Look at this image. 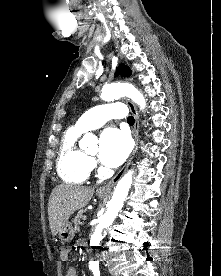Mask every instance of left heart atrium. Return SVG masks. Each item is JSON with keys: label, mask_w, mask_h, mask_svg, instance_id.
<instances>
[{"label": "left heart atrium", "mask_w": 221, "mask_h": 276, "mask_svg": "<svg viewBox=\"0 0 221 276\" xmlns=\"http://www.w3.org/2000/svg\"><path fill=\"white\" fill-rule=\"evenodd\" d=\"M131 149L128 135L115 128H108L101 134L99 158L109 167H117L127 158Z\"/></svg>", "instance_id": "1"}]
</instances>
